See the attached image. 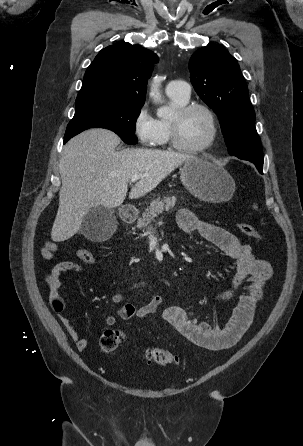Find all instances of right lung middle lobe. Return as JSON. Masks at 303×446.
Listing matches in <instances>:
<instances>
[{
  "mask_svg": "<svg viewBox=\"0 0 303 446\" xmlns=\"http://www.w3.org/2000/svg\"><path fill=\"white\" fill-rule=\"evenodd\" d=\"M142 106L120 103H95L76 106L69 122L64 143L89 128H105L114 131L127 144H135V122Z\"/></svg>",
  "mask_w": 303,
  "mask_h": 446,
  "instance_id": "dd1d6c3e",
  "label": "right lung middle lobe"
}]
</instances>
